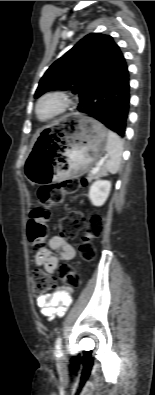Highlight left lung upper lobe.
<instances>
[{"label":"left lung upper lobe","instance_id":"left-lung-upper-lobe-1","mask_svg":"<svg viewBox=\"0 0 155 395\" xmlns=\"http://www.w3.org/2000/svg\"><path fill=\"white\" fill-rule=\"evenodd\" d=\"M123 59L111 36L88 34L48 68L35 98L51 90H69L78 94L80 110L81 103L98 87L104 75Z\"/></svg>","mask_w":155,"mask_h":395}]
</instances>
